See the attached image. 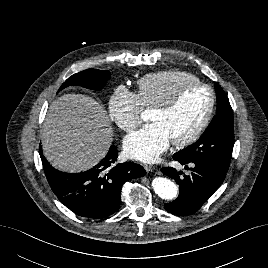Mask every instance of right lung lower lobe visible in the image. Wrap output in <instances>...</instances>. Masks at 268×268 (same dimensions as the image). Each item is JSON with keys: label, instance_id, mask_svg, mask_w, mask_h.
I'll list each match as a JSON object with an SVG mask.
<instances>
[{"label": "right lung lower lobe", "instance_id": "right-lung-lower-lobe-1", "mask_svg": "<svg viewBox=\"0 0 268 268\" xmlns=\"http://www.w3.org/2000/svg\"><path fill=\"white\" fill-rule=\"evenodd\" d=\"M111 146L105 158L88 171L64 173L54 169L42 155L47 180L58 197L74 213L87 218H105L120 207V192L123 184L143 177L145 169L132 162L114 165L117 151Z\"/></svg>", "mask_w": 268, "mask_h": 268}]
</instances>
